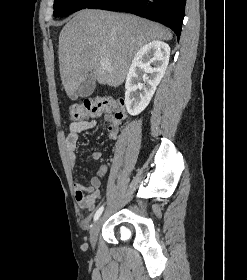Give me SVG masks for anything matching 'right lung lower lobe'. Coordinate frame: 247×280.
<instances>
[{"mask_svg": "<svg viewBox=\"0 0 247 280\" xmlns=\"http://www.w3.org/2000/svg\"><path fill=\"white\" fill-rule=\"evenodd\" d=\"M186 0H97L88 8L124 11L170 27L180 37Z\"/></svg>", "mask_w": 247, "mask_h": 280, "instance_id": "98d812e1", "label": "right lung lower lobe"}]
</instances>
